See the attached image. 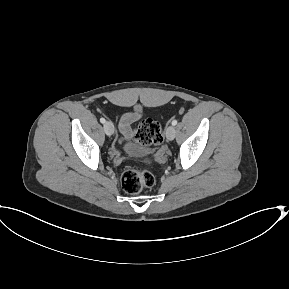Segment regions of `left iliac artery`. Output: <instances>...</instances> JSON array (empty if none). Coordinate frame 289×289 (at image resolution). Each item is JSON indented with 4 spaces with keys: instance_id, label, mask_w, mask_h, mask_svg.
Masks as SVG:
<instances>
[{
    "instance_id": "obj_1",
    "label": "left iliac artery",
    "mask_w": 289,
    "mask_h": 289,
    "mask_svg": "<svg viewBox=\"0 0 289 289\" xmlns=\"http://www.w3.org/2000/svg\"><path fill=\"white\" fill-rule=\"evenodd\" d=\"M172 125H173V126L177 125V120H173V121H172Z\"/></svg>"
}]
</instances>
